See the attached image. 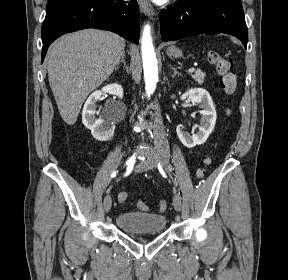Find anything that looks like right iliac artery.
<instances>
[{
  "label": "right iliac artery",
  "mask_w": 288,
  "mask_h": 280,
  "mask_svg": "<svg viewBox=\"0 0 288 280\" xmlns=\"http://www.w3.org/2000/svg\"><path fill=\"white\" fill-rule=\"evenodd\" d=\"M135 163V155H133V156H131L130 158H129V160L126 162V165L128 166V164H134ZM128 168V167H127ZM116 173L117 172H114L113 174H112V177H115L116 176Z\"/></svg>",
  "instance_id": "82829eb1"
}]
</instances>
